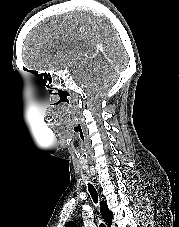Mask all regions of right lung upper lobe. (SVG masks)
<instances>
[{"instance_id":"right-lung-upper-lobe-1","label":"right lung upper lobe","mask_w":179,"mask_h":227,"mask_svg":"<svg viewBox=\"0 0 179 227\" xmlns=\"http://www.w3.org/2000/svg\"><path fill=\"white\" fill-rule=\"evenodd\" d=\"M101 214L104 218V220L111 225V220L113 217L112 212L108 209L107 203L105 201L101 202V207H100ZM65 227H76V224L74 222H68Z\"/></svg>"}]
</instances>
